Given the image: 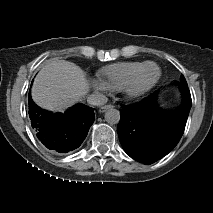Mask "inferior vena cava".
<instances>
[{
    "label": "inferior vena cava",
    "mask_w": 213,
    "mask_h": 213,
    "mask_svg": "<svg viewBox=\"0 0 213 213\" xmlns=\"http://www.w3.org/2000/svg\"><path fill=\"white\" fill-rule=\"evenodd\" d=\"M107 101H108V98L100 92H93L87 98V103L93 106H102L106 104Z\"/></svg>",
    "instance_id": "1"
}]
</instances>
